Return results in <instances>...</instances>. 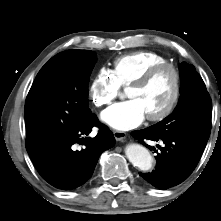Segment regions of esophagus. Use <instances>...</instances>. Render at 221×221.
I'll return each instance as SVG.
<instances>
[{"instance_id":"obj_1","label":"esophagus","mask_w":221,"mask_h":221,"mask_svg":"<svg viewBox=\"0 0 221 221\" xmlns=\"http://www.w3.org/2000/svg\"><path fill=\"white\" fill-rule=\"evenodd\" d=\"M126 133L123 131H114L113 136L117 141H122L126 138Z\"/></svg>"}]
</instances>
